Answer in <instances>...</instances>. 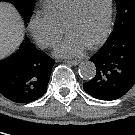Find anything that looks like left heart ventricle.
Returning a JSON list of instances; mask_svg holds the SVG:
<instances>
[{
	"mask_svg": "<svg viewBox=\"0 0 135 135\" xmlns=\"http://www.w3.org/2000/svg\"><path fill=\"white\" fill-rule=\"evenodd\" d=\"M108 6V0H84L77 17L67 25L66 34L86 45L95 41L105 29Z\"/></svg>",
	"mask_w": 135,
	"mask_h": 135,
	"instance_id": "b2bd125f",
	"label": "left heart ventricle"
}]
</instances>
